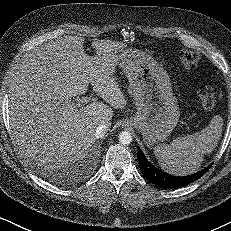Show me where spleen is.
Here are the masks:
<instances>
[{
    "label": "spleen",
    "instance_id": "spleen-1",
    "mask_svg": "<svg viewBox=\"0 0 231 231\" xmlns=\"http://www.w3.org/2000/svg\"><path fill=\"white\" fill-rule=\"evenodd\" d=\"M223 119L215 115L200 132L174 139L170 145L156 146L154 155L160 167L175 176H186L199 170L203 157L211 153L221 138Z\"/></svg>",
    "mask_w": 231,
    "mask_h": 231
}]
</instances>
